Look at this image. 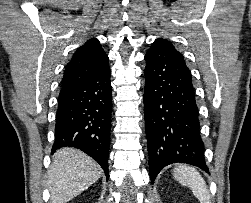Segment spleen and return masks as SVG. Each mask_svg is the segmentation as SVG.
<instances>
[{
    "mask_svg": "<svg viewBox=\"0 0 251 203\" xmlns=\"http://www.w3.org/2000/svg\"><path fill=\"white\" fill-rule=\"evenodd\" d=\"M174 178L184 186H188L200 203H211L206 183L200 173L191 166L180 165L173 170Z\"/></svg>",
    "mask_w": 251,
    "mask_h": 203,
    "instance_id": "3e777b00",
    "label": "spleen"
}]
</instances>
